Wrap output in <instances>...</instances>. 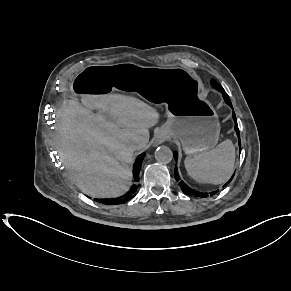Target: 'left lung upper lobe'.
I'll return each mask as SVG.
<instances>
[{"mask_svg": "<svg viewBox=\"0 0 291 291\" xmlns=\"http://www.w3.org/2000/svg\"><path fill=\"white\" fill-rule=\"evenodd\" d=\"M211 85L213 88H215L218 91H224L223 87L214 79L211 80Z\"/></svg>", "mask_w": 291, "mask_h": 291, "instance_id": "5c2ea615", "label": "left lung upper lobe"}]
</instances>
